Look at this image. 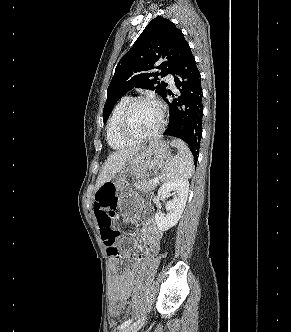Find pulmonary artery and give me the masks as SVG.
I'll return each mask as SVG.
<instances>
[{
  "mask_svg": "<svg viewBox=\"0 0 291 332\" xmlns=\"http://www.w3.org/2000/svg\"><path fill=\"white\" fill-rule=\"evenodd\" d=\"M166 79H167L168 83H169L172 87H174V84H175V82H174V77H173L172 75H167Z\"/></svg>",
  "mask_w": 291,
  "mask_h": 332,
  "instance_id": "e3ab8cb5",
  "label": "pulmonary artery"
}]
</instances>
